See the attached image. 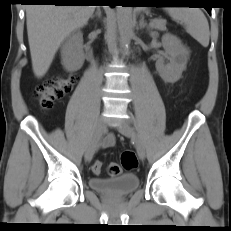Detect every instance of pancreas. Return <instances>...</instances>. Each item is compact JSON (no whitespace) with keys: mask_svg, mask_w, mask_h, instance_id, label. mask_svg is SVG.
<instances>
[{"mask_svg":"<svg viewBox=\"0 0 231 231\" xmlns=\"http://www.w3.org/2000/svg\"><path fill=\"white\" fill-rule=\"evenodd\" d=\"M166 21L165 20H158V19H155L151 22V27L152 28H155V29H158V30H161V31H164L166 30Z\"/></svg>","mask_w":231,"mask_h":231,"instance_id":"1","label":"pancreas"}]
</instances>
